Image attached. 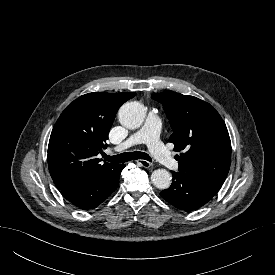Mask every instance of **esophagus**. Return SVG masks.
<instances>
[{
    "mask_svg": "<svg viewBox=\"0 0 275 275\" xmlns=\"http://www.w3.org/2000/svg\"><path fill=\"white\" fill-rule=\"evenodd\" d=\"M137 163H138L140 166L144 167V168H151V167L153 166L152 163H150V162L147 161V160H143V159L137 160Z\"/></svg>",
    "mask_w": 275,
    "mask_h": 275,
    "instance_id": "34e87169",
    "label": "esophagus"
}]
</instances>
